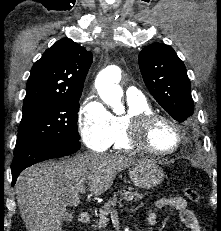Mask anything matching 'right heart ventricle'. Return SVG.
Wrapping results in <instances>:
<instances>
[{
	"label": "right heart ventricle",
	"mask_w": 221,
	"mask_h": 231,
	"mask_svg": "<svg viewBox=\"0 0 221 231\" xmlns=\"http://www.w3.org/2000/svg\"><path fill=\"white\" fill-rule=\"evenodd\" d=\"M128 112L123 116L114 117L113 138L110 146L120 151H131L135 149L129 144L126 138V120L144 112H151L152 109L146 99L128 100Z\"/></svg>",
	"instance_id": "right-heart-ventricle-1"
}]
</instances>
